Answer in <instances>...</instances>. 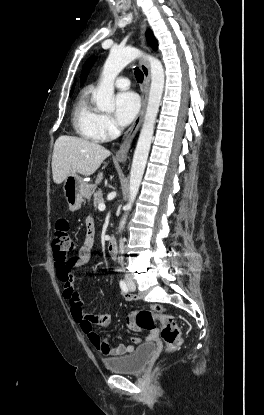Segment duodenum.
<instances>
[{"mask_svg": "<svg viewBox=\"0 0 264 415\" xmlns=\"http://www.w3.org/2000/svg\"><path fill=\"white\" fill-rule=\"evenodd\" d=\"M106 245H107V250L108 253L111 257H115L116 253H117V244H116V240L114 237H109L106 240Z\"/></svg>", "mask_w": 264, "mask_h": 415, "instance_id": "1", "label": "duodenum"}]
</instances>
